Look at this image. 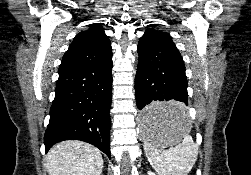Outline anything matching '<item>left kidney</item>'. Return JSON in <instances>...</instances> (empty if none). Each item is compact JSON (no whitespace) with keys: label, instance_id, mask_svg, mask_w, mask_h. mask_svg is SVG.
<instances>
[{"label":"left kidney","instance_id":"left-kidney-1","mask_svg":"<svg viewBox=\"0 0 251 175\" xmlns=\"http://www.w3.org/2000/svg\"><path fill=\"white\" fill-rule=\"evenodd\" d=\"M148 175H156V173H154V171H148Z\"/></svg>","mask_w":251,"mask_h":175}]
</instances>
